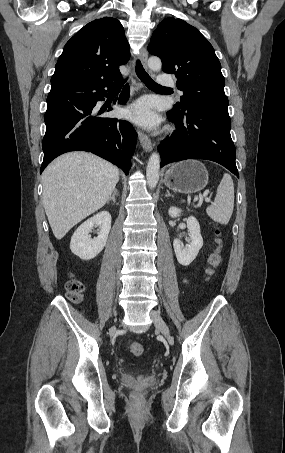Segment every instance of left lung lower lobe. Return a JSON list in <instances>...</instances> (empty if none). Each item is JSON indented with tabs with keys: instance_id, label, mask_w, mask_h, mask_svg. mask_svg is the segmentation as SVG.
Listing matches in <instances>:
<instances>
[{
	"instance_id": "1",
	"label": "left lung lower lobe",
	"mask_w": 285,
	"mask_h": 453,
	"mask_svg": "<svg viewBox=\"0 0 285 453\" xmlns=\"http://www.w3.org/2000/svg\"><path fill=\"white\" fill-rule=\"evenodd\" d=\"M167 114L176 131L158 147L161 167L185 159H207L239 177L228 109L192 105L184 110L173 108Z\"/></svg>"
}]
</instances>
